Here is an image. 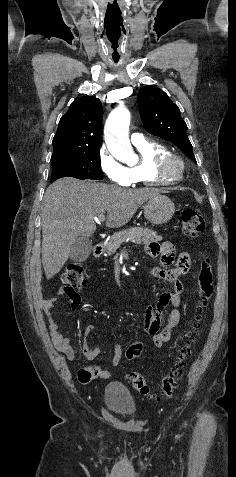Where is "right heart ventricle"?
I'll return each mask as SVG.
<instances>
[{
    "instance_id": "right-heart-ventricle-1",
    "label": "right heart ventricle",
    "mask_w": 236,
    "mask_h": 477,
    "mask_svg": "<svg viewBox=\"0 0 236 477\" xmlns=\"http://www.w3.org/2000/svg\"><path fill=\"white\" fill-rule=\"evenodd\" d=\"M135 147L139 153L140 160L137 164L127 167L130 177V183L128 186H136L138 184L167 185L179 181L165 182L157 178L152 172L154 159L161 154L170 153L163 144L153 140H144L139 144H136Z\"/></svg>"
}]
</instances>
